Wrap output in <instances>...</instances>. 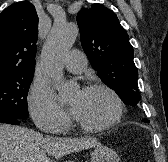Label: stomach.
<instances>
[{
	"label": "stomach",
	"instance_id": "obj_1",
	"mask_svg": "<svg viewBox=\"0 0 168 162\" xmlns=\"http://www.w3.org/2000/svg\"><path fill=\"white\" fill-rule=\"evenodd\" d=\"M91 162H119V157L111 148L99 146L92 152Z\"/></svg>",
	"mask_w": 168,
	"mask_h": 162
}]
</instances>
